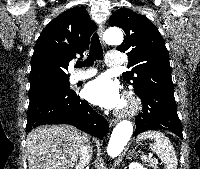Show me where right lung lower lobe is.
I'll return each mask as SVG.
<instances>
[{
	"label": "right lung lower lobe",
	"mask_w": 200,
	"mask_h": 169,
	"mask_svg": "<svg viewBox=\"0 0 200 169\" xmlns=\"http://www.w3.org/2000/svg\"><path fill=\"white\" fill-rule=\"evenodd\" d=\"M29 99L26 133L39 125L59 123L73 125L98 138L108 131L106 119L70 88L35 93Z\"/></svg>",
	"instance_id": "98d812e1"
}]
</instances>
